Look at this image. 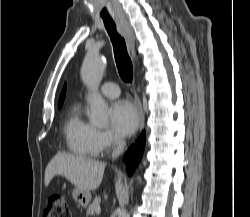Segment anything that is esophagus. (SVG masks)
Wrapping results in <instances>:
<instances>
[{
    "mask_svg": "<svg viewBox=\"0 0 250 217\" xmlns=\"http://www.w3.org/2000/svg\"><path fill=\"white\" fill-rule=\"evenodd\" d=\"M116 22L118 24L121 34L123 35V37L127 42L128 49L130 50L132 57H134L135 36L131 25L125 18H119L116 20ZM134 101L139 116V131H142L145 124V116L142 109L141 99L137 93H135L134 95Z\"/></svg>",
    "mask_w": 250,
    "mask_h": 217,
    "instance_id": "1",
    "label": "esophagus"
}]
</instances>
